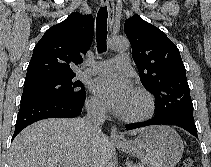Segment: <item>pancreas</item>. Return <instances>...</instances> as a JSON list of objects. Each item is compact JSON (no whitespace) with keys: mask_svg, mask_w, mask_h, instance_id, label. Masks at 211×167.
Wrapping results in <instances>:
<instances>
[{"mask_svg":"<svg viewBox=\"0 0 211 167\" xmlns=\"http://www.w3.org/2000/svg\"><path fill=\"white\" fill-rule=\"evenodd\" d=\"M126 167H144V165L139 163L126 162Z\"/></svg>","mask_w":211,"mask_h":167,"instance_id":"obj_1","label":"pancreas"}]
</instances>
